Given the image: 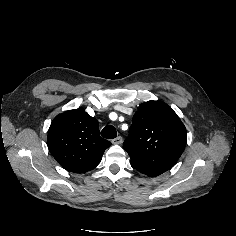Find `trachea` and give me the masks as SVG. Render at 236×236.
<instances>
[{"label": "trachea", "mask_w": 236, "mask_h": 236, "mask_svg": "<svg viewBox=\"0 0 236 236\" xmlns=\"http://www.w3.org/2000/svg\"><path fill=\"white\" fill-rule=\"evenodd\" d=\"M101 136L106 139H114L117 137L116 129L111 125L105 126L101 131Z\"/></svg>", "instance_id": "3493384b"}]
</instances>
